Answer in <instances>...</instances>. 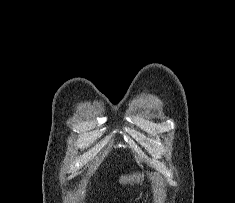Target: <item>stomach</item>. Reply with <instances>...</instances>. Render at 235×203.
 I'll list each match as a JSON object with an SVG mask.
<instances>
[{
	"instance_id": "stomach-1",
	"label": "stomach",
	"mask_w": 235,
	"mask_h": 203,
	"mask_svg": "<svg viewBox=\"0 0 235 203\" xmlns=\"http://www.w3.org/2000/svg\"><path fill=\"white\" fill-rule=\"evenodd\" d=\"M143 176L141 174H133V175H123L119 178L120 184H132L133 182H139Z\"/></svg>"
}]
</instances>
